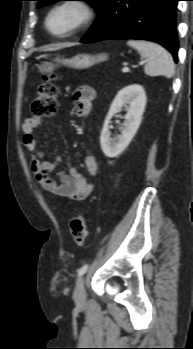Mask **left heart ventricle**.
<instances>
[{"mask_svg": "<svg viewBox=\"0 0 193 349\" xmlns=\"http://www.w3.org/2000/svg\"><path fill=\"white\" fill-rule=\"evenodd\" d=\"M82 11L75 6H66L54 11L49 19V28L54 33H63L72 28L81 18Z\"/></svg>", "mask_w": 193, "mask_h": 349, "instance_id": "b2bd125f", "label": "left heart ventricle"}]
</instances>
